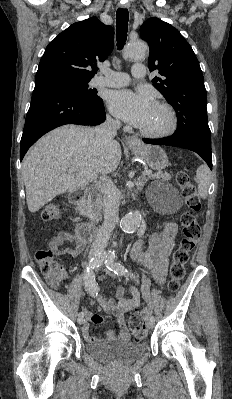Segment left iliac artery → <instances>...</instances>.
I'll return each mask as SVG.
<instances>
[{
  "instance_id": "1",
  "label": "left iliac artery",
  "mask_w": 232,
  "mask_h": 399,
  "mask_svg": "<svg viewBox=\"0 0 232 399\" xmlns=\"http://www.w3.org/2000/svg\"><path fill=\"white\" fill-rule=\"evenodd\" d=\"M116 256V253H109L105 259V265L110 271H113L115 274L124 275L128 272V270L123 264L115 261ZM151 319L154 320L155 316H152Z\"/></svg>"
}]
</instances>
